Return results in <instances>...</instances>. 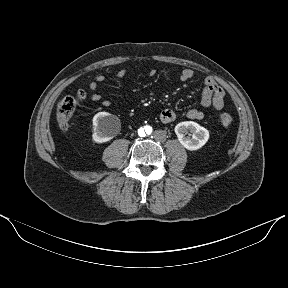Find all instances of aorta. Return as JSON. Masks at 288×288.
I'll return each instance as SVG.
<instances>
[{"label":"aorta","mask_w":288,"mask_h":288,"mask_svg":"<svg viewBox=\"0 0 288 288\" xmlns=\"http://www.w3.org/2000/svg\"><path fill=\"white\" fill-rule=\"evenodd\" d=\"M153 128L149 124L140 125L136 129V134L140 138H145L151 136Z\"/></svg>","instance_id":"aorta-1"}]
</instances>
